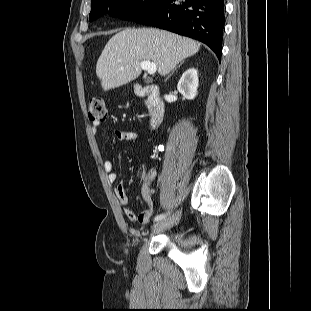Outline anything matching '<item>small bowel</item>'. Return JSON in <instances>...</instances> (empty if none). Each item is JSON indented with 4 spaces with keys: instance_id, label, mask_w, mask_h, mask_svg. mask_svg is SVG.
<instances>
[{
    "instance_id": "c3829d8e",
    "label": "small bowel",
    "mask_w": 311,
    "mask_h": 311,
    "mask_svg": "<svg viewBox=\"0 0 311 311\" xmlns=\"http://www.w3.org/2000/svg\"><path fill=\"white\" fill-rule=\"evenodd\" d=\"M100 122H94L91 125V133L94 135H97L100 130ZM114 137L119 141H134L139 139V134L133 131H127V130H115L114 131ZM104 171L107 174L108 181L110 183H115L118 179V176L116 172L114 171V165L113 162L110 160H107L103 164ZM155 177V172L152 171L144 180L142 184V196L146 203V209L142 211L141 213L137 214L133 211L131 207L128 205V196L125 191V187L123 183H119L115 186L114 192L119 200L120 204L122 205L123 212L125 216L133 221H137L141 224H147L152 216L154 215V204L152 201V192L150 190V184L153 181Z\"/></svg>"
}]
</instances>
